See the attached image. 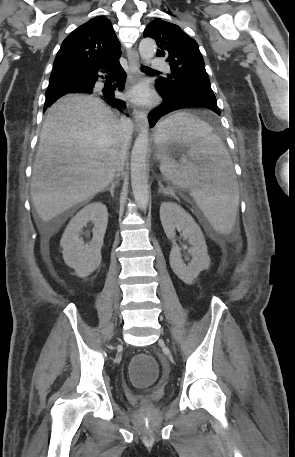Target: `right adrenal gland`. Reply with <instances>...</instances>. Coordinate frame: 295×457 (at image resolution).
I'll use <instances>...</instances> for the list:
<instances>
[{
  "mask_svg": "<svg viewBox=\"0 0 295 457\" xmlns=\"http://www.w3.org/2000/svg\"><path fill=\"white\" fill-rule=\"evenodd\" d=\"M118 184H119V179L117 178L116 180L112 181L110 184V187L106 188L105 190L110 191L111 196L114 197V190Z\"/></svg>",
  "mask_w": 295,
  "mask_h": 457,
  "instance_id": "2a0ac1e0",
  "label": "right adrenal gland"
}]
</instances>
